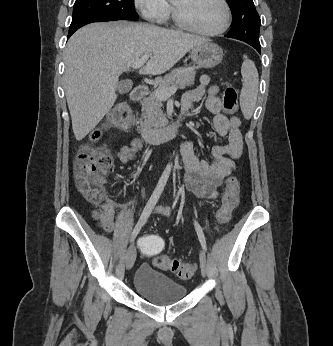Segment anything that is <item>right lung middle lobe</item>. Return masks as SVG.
<instances>
[{
  "instance_id": "obj_1",
  "label": "right lung middle lobe",
  "mask_w": 333,
  "mask_h": 346,
  "mask_svg": "<svg viewBox=\"0 0 333 346\" xmlns=\"http://www.w3.org/2000/svg\"><path fill=\"white\" fill-rule=\"evenodd\" d=\"M136 19L134 0H76L69 32L93 22Z\"/></svg>"
}]
</instances>
